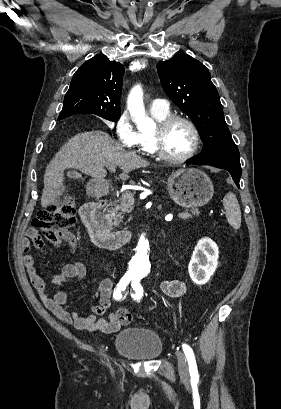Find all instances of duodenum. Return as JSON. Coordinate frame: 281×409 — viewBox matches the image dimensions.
<instances>
[{
	"mask_svg": "<svg viewBox=\"0 0 281 409\" xmlns=\"http://www.w3.org/2000/svg\"><path fill=\"white\" fill-rule=\"evenodd\" d=\"M108 188L101 186L97 192V197L101 203H108L110 196L107 194ZM101 203L87 202L80 209L81 218L89 232L93 244L100 249L114 250L131 241L130 232L120 230L110 232L104 225V217L100 211Z\"/></svg>",
	"mask_w": 281,
	"mask_h": 409,
	"instance_id": "obj_1",
	"label": "duodenum"
}]
</instances>
